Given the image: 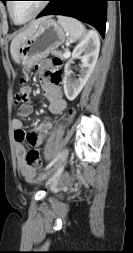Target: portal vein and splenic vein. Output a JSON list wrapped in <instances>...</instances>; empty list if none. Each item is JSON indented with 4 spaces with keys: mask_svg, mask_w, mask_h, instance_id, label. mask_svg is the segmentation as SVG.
Returning <instances> with one entry per match:
<instances>
[{
    "mask_svg": "<svg viewBox=\"0 0 133 253\" xmlns=\"http://www.w3.org/2000/svg\"><path fill=\"white\" fill-rule=\"evenodd\" d=\"M70 53L67 51L64 53V57H69Z\"/></svg>",
    "mask_w": 133,
    "mask_h": 253,
    "instance_id": "1",
    "label": "portal vein and splenic vein"
}]
</instances>
